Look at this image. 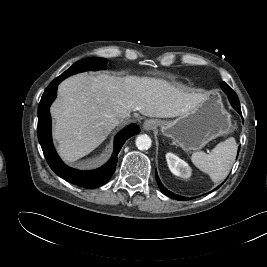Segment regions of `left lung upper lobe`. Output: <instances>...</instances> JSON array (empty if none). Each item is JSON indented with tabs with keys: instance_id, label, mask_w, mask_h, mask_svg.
<instances>
[{
	"instance_id": "1",
	"label": "left lung upper lobe",
	"mask_w": 267,
	"mask_h": 267,
	"mask_svg": "<svg viewBox=\"0 0 267 267\" xmlns=\"http://www.w3.org/2000/svg\"><path fill=\"white\" fill-rule=\"evenodd\" d=\"M222 86H228L225 82H223Z\"/></svg>"
}]
</instances>
